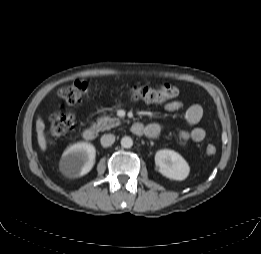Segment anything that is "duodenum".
<instances>
[{
  "mask_svg": "<svg viewBox=\"0 0 261 254\" xmlns=\"http://www.w3.org/2000/svg\"><path fill=\"white\" fill-rule=\"evenodd\" d=\"M132 130L135 134L138 135V134H142L143 128L140 124L135 123L132 127ZM82 135H83L85 140L93 141L97 136V132L92 127H86V128H84Z\"/></svg>",
  "mask_w": 261,
  "mask_h": 254,
  "instance_id": "duodenum-1",
  "label": "duodenum"
}]
</instances>
